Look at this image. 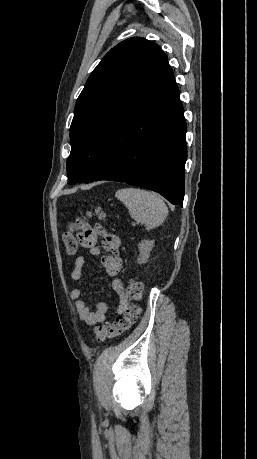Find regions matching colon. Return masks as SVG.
<instances>
[{"label":"colon","instance_id":"5ec220e1","mask_svg":"<svg viewBox=\"0 0 257 459\" xmlns=\"http://www.w3.org/2000/svg\"><path fill=\"white\" fill-rule=\"evenodd\" d=\"M97 212L101 218L106 217V213L103 210L98 209ZM83 220H87V217L70 223L67 231L63 234V242L69 255L75 254L79 247L76 236H70L69 229L70 227H78L77 223ZM125 295L131 304L127 306L124 313L119 315L113 323L104 324L95 330L94 338L96 341L102 342L114 339L127 332L137 321L141 311L137 302L143 298L142 283L138 280L130 279L125 286Z\"/></svg>","mask_w":257,"mask_h":459}]
</instances>
